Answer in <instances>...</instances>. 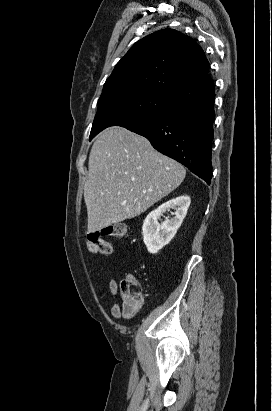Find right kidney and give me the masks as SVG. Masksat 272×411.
<instances>
[{"mask_svg": "<svg viewBox=\"0 0 272 411\" xmlns=\"http://www.w3.org/2000/svg\"><path fill=\"white\" fill-rule=\"evenodd\" d=\"M190 202V197L182 195L163 203L148 214L143 223L142 234L149 253L156 254L173 239L187 214ZM170 209L175 210L174 217L160 224L158 220Z\"/></svg>", "mask_w": 272, "mask_h": 411, "instance_id": "right-kidney-1", "label": "right kidney"}]
</instances>
